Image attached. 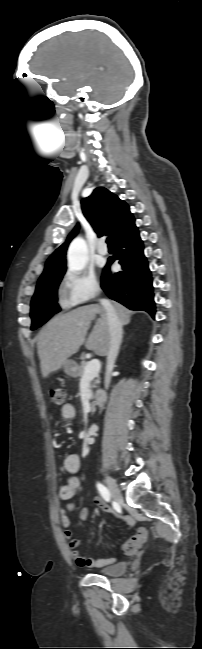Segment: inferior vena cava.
<instances>
[{"instance_id": "inferior-vena-cava-1", "label": "inferior vena cava", "mask_w": 202, "mask_h": 649, "mask_svg": "<svg viewBox=\"0 0 202 649\" xmlns=\"http://www.w3.org/2000/svg\"><path fill=\"white\" fill-rule=\"evenodd\" d=\"M101 305L106 311V316L109 325L110 341L109 349L107 353V365H106V381L105 386L108 385V380L110 379L111 372L114 368V363L117 358L120 345L122 342V323L121 320L114 308V306L107 299H101Z\"/></svg>"}]
</instances>
